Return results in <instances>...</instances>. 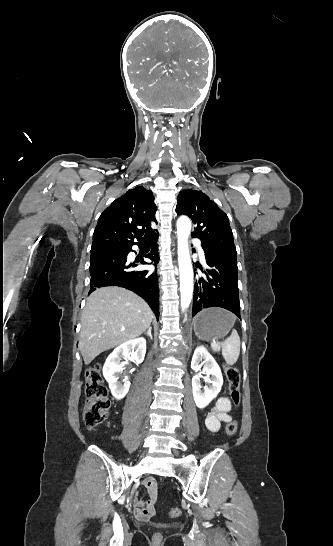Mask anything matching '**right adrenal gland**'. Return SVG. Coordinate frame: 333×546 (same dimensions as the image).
Segmentation results:
<instances>
[{
	"label": "right adrenal gland",
	"mask_w": 333,
	"mask_h": 546,
	"mask_svg": "<svg viewBox=\"0 0 333 546\" xmlns=\"http://www.w3.org/2000/svg\"><path fill=\"white\" fill-rule=\"evenodd\" d=\"M151 330H152V327H151V326H149V329H148V331H146V332L144 333V335H147V336H149V337H150V339L152 340V339H153V337H152V334H151Z\"/></svg>",
	"instance_id": "right-adrenal-gland-1"
}]
</instances>
